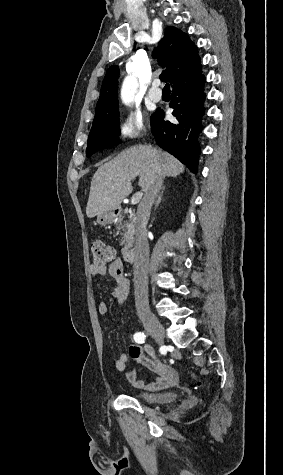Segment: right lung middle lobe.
Listing matches in <instances>:
<instances>
[{
    "instance_id": "1",
    "label": "right lung middle lobe",
    "mask_w": 283,
    "mask_h": 475,
    "mask_svg": "<svg viewBox=\"0 0 283 475\" xmlns=\"http://www.w3.org/2000/svg\"><path fill=\"white\" fill-rule=\"evenodd\" d=\"M120 134L118 105L97 107L95 118L88 138L86 156L115 146Z\"/></svg>"
}]
</instances>
